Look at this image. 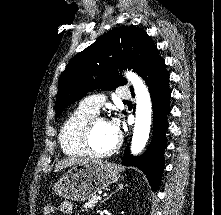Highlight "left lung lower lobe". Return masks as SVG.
<instances>
[{"label":"left lung lower lobe","mask_w":221,"mask_h":215,"mask_svg":"<svg viewBox=\"0 0 221 215\" xmlns=\"http://www.w3.org/2000/svg\"><path fill=\"white\" fill-rule=\"evenodd\" d=\"M149 87L152 107L154 132L151 144L148 150L142 155L135 157L130 155L129 150H125L122 164L126 166H135L142 170L148 177L153 190H157L160 185L162 171L164 169L163 151L167 145L165 131L168 128L167 114L171 108L169 98L171 92L168 87L169 75L166 71L165 61L161 59L142 77ZM134 96L133 89H131Z\"/></svg>","instance_id":"0a47b994"}]
</instances>
